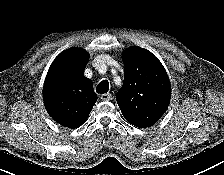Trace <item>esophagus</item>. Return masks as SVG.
Returning a JSON list of instances; mask_svg holds the SVG:
<instances>
[{
    "instance_id": "34e87169",
    "label": "esophagus",
    "mask_w": 224,
    "mask_h": 175,
    "mask_svg": "<svg viewBox=\"0 0 224 175\" xmlns=\"http://www.w3.org/2000/svg\"><path fill=\"white\" fill-rule=\"evenodd\" d=\"M100 99H101L102 101H110V100H112V95L109 94V93L102 94V95L100 96Z\"/></svg>"
}]
</instances>
